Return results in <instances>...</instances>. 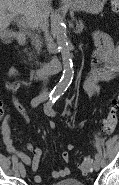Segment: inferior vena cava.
Masks as SVG:
<instances>
[{
    "instance_id": "1",
    "label": "inferior vena cava",
    "mask_w": 119,
    "mask_h": 185,
    "mask_svg": "<svg viewBox=\"0 0 119 185\" xmlns=\"http://www.w3.org/2000/svg\"><path fill=\"white\" fill-rule=\"evenodd\" d=\"M46 1H48V0H41V2H46ZM39 28L44 32L45 38L48 41V36H49V34H48V22L46 20H42L39 24ZM48 48H49V45H48ZM47 81H48V77L45 76L44 77V88L42 89V93H41V95L43 97H47V95H48V89L46 88Z\"/></svg>"
}]
</instances>
